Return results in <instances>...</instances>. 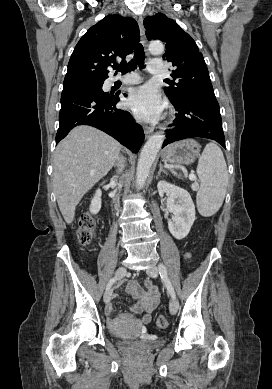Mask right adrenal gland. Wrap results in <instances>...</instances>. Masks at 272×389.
<instances>
[{
    "mask_svg": "<svg viewBox=\"0 0 272 389\" xmlns=\"http://www.w3.org/2000/svg\"><path fill=\"white\" fill-rule=\"evenodd\" d=\"M114 167L116 168H118V172L119 173H121L122 171H123V169H124V164H123V160L120 158V159H118V163L117 164H115L114 165Z\"/></svg>",
    "mask_w": 272,
    "mask_h": 389,
    "instance_id": "right-adrenal-gland-1",
    "label": "right adrenal gland"
}]
</instances>
